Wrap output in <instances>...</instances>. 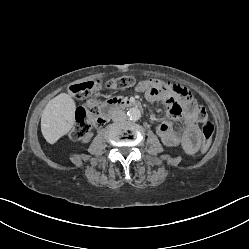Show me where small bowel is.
Instances as JSON below:
<instances>
[{"label": "small bowel", "mask_w": 249, "mask_h": 249, "mask_svg": "<svg viewBox=\"0 0 249 249\" xmlns=\"http://www.w3.org/2000/svg\"><path fill=\"white\" fill-rule=\"evenodd\" d=\"M145 86L137 87L151 100H164L168 103L170 120L157 127V133L167 146L181 145L187 154H194L200 147L201 133L197 114L200 109L191 92L174 83L160 79L144 81ZM174 122L180 126L175 127Z\"/></svg>", "instance_id": "small-bowel-1"}]
</instances>
